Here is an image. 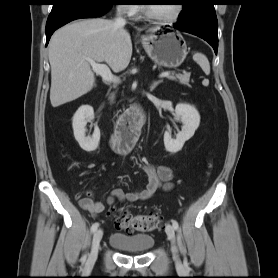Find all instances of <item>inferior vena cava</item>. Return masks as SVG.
I'll list each match as a JSON object with an SVG mask.
<instances>
[{
	"mask_svg": "<svg viewBox=\"0 0 278 278\" xmlns=\"http://www.w3.org/2000/svg\"><path fill=\"white\" fill-rule=\"evenodd\" d=\"M122 8L118 7L117 9V17L115 18V23L117 25H124L126 23L125 19L121 16Z\"/></svg>",
	"mask_w": 278,
	"mask_h": 278,
	"instance_id": "inferior-vena-cava-1",
	"label": "inferior vena cava"
}]
</instances>
